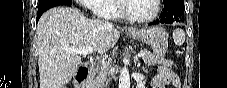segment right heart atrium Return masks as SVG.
<instances>
[{
	"label": "right heart atrium",
	"mask_w": 227,
	"mask_h": 88,
	"mask_svg": "<svg viewBox=\"0 0 227 88\" xmlns=\"http://www.w3.org/2000/svg\"><path fill=\"white\" fill-rule=\"evenodd\" d=\"M102 0H79V3L87 5L89 9L95 12V5Z\"/></svg>",
	"instance_id": "obj_1"
}]
</instances>
